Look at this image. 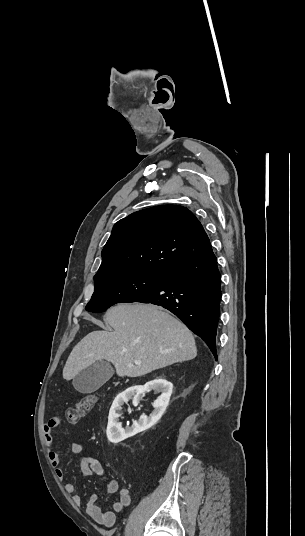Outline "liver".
I'll use <instances>...</instances> for the list:
<instances>
[{"label": "liver", "mask_w": 305, "mask_h": 536, "mask_svg": "<svg viewBox=\"0 0 305 536\" xmlns=\"http://www.w3.org/2000/svg\"><path fill=\"white\" fill-rule=\"evenodd\" d=\"M104 322L114 332L87 334L73 348L63 368L64 380H73L99 360L111 362L120 378H138L197 356L190 330L160 306L117 304L106 312Z\"/></svg>", "instance_id": "6515ba94"}]
</instances>
